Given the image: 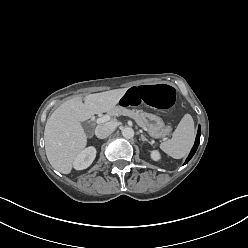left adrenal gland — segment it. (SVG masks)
Wrapping results in <instances>:
<instances>
[{
    "label": "left adrenal gland",
    "instance_id": "left-adrenal-gland-1",
    "mask_svg": "<svg viewBox=\"0 0 248 248\" xmlns=\"http://www.w3.org/2000/svg\"><path fill=\"white\" fill-rule=\"evenodd\" d=\"M141 139H142L143 142L146 141V142H148L149 144L152 145V143L142 133H141Z\"/></svg>",
    "mask_w": 248,
    "mask_h": 248
}]
</instances>
